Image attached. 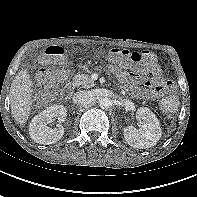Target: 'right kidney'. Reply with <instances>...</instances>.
<instances>
[{"mask_svg":"<svg viewBox=\"0 0 197 197\" xmlns=\"http://www.w3.org/2000/svg\"><path fill=\"white\" fill-rule=\"evenodd\" d=\"M67 117V110L63 105H53L36 115L30 125L29 134L34 142L50 145L59 141L64 135V127L58 124L55 128H49L47 125L55 119L64 122Z\"/></svg>","mask_w":197,"mask_h":197,"instance_id":"1","label":"right kidney"}]
</instances>
